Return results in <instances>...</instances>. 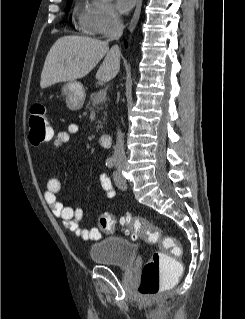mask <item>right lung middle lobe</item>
<instances>
[{"mask_svg": "<svg viewBox=\"0 0 245 319\" xmlns=\"http://www.w3.org/2000/svg\"><path fill=\"white\" fill-rule=\"evenodd\" d=\"M72 0H67V7H66V10L68 9L69 5L71 4ZM65 10V11H66Z\"/></svg>", "mask_w": 245, "mask_h": 319, "instance_id": "dd1d6c3e", "label": "right lung middle lobe"}]
</instances>
